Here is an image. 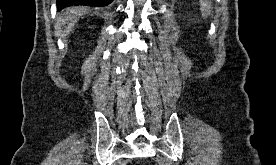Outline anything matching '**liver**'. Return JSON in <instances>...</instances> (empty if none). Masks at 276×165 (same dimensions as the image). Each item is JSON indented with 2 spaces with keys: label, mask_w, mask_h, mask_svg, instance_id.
Segmentation results:
<instances>
[{
  "label": "liver",
  "mask_w": 276,
  "mask_h": 165,
  "mask_svg": "<svg viewBox=\"0 0 276 165\" xmlns=\"http://www.w3.org/2000/svg\"><path fill=\"white\" fill-rule=\"evenodd\" d=\"M77 18V10L70 8L66 9L63 13V18L61 20L62 24H66L67 21H71Z\"/></svg>",
  "instance_id": "obj_1"
}]
</instances>
